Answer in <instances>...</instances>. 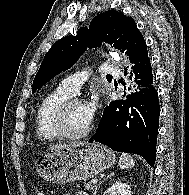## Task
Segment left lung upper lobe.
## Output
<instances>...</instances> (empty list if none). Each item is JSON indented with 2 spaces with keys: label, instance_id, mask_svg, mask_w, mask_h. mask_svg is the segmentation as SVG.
Instances as JSON below:
<instances>
[{
  "label": "left lung upper lobe",
  "instance_id": "5c2ea615",
  "mask_svg": "<svg viewBox=\"0 0 189 195\" xmlns=\"http://www.w3.org/2000/svg\"><path fill=\"white\" fill-rule=\"evenodd\" d=\"M102 42L125 53L134 66L148 58L144 38L135 21L122 12L106 11L97 15L88 28H80L75 36H66L54 43L34 78L32 93L69 69L86 48L99 47Z\"/></svg>",
  "mask_w": 189,
  "mask_h": 195
}]
</instances>
